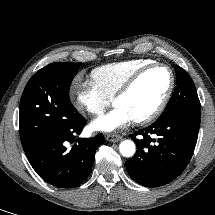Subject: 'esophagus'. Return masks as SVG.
I'll use <instances>...</instances> for the list:
<instances>
[{
	"label": "esophagus",
	"mask_w": 215,
	"mask_h": 215,
	"mask_svg": "<svg viewBox=\"0 0 215 215\" xmlns=\"http://www.w3.org/2000/svg\"><path fill=\"white\" fill-rule=\"evenodd\" d=\"M105 139L109 142H118L122 140V137L120 135L112 134V135H106Z\"/></svg>",
	"instance_id": "obj_1"
}]
</instances>
